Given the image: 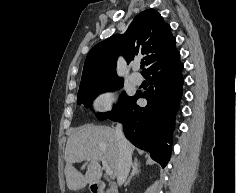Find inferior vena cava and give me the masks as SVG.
Segmentation results:
<instances>
[{"mask_svg":"<svg viewBox=\"0 0 237 193\" xmlns=\"http://www.w3.org/2000/svg\"><path fill=\"white\" fill-rule=\"evenodd\" d=\"M115 135L119 146V162H118V174L117 183L121 186L130 172L132 165V156L130 150V144L124 136L123 127L120 123L115 127Z\"/></svg>","mask_w":237,"mask_h":193,"instance_id":"1","label":"inferior vena cava"}]
</instances>
